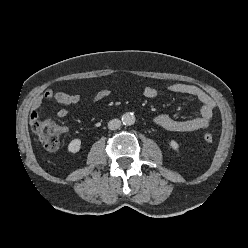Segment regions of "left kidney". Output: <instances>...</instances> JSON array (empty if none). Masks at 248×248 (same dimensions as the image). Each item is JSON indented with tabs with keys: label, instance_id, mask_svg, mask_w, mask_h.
Returning a JSON list of instances; mask_svg holds the SVG:
<instances>
[{
	"label": "left kidney",
	"instance_id": "obj_1",
	"mask_svg": "<svg viewBox=\"0 0 248 248\" xmlns=\"http://www.w3.org/2000/svg\"><path fill=\"white\" fill-rule=\"evenodd\" d=\"M170 147L173 149V150H178V148H179V145H178V143L176 142V141H174V140H171L170 141Z\"/></svg>",
	"mask_w": 248,
	"mask_h": 248
}]
</instances>
